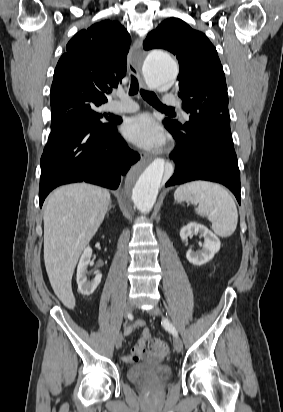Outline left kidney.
<instances>
[{
    "label": "left kidney",
    "mask_w": 283,
    "mask_h": 412,
    "mask_svg": "<svg viewBox=\"0 0 283 412\" xmlns=\"http://www.w3.org/2000/svg\"><path fill=\"white\" fill-rule=\"evenodd\" d=\"M198 233L205 239L202 250L194 252L189 249L186 258L190 263L200 266L213 259L214 255L220 250L221 243L219 238L207 227L194 222L187 224L180 230V237L182 241H187L188 237Z\"/></svg>",
    "instance_id": "left-kidney-1"
}]
</instances>
